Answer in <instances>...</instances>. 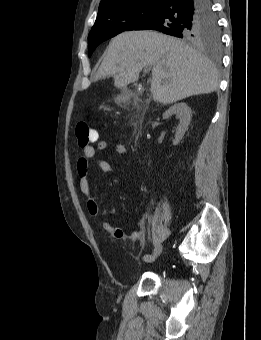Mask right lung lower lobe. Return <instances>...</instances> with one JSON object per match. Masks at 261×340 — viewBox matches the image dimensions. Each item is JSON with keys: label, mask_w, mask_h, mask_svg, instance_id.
Listing matches in <instances>:
<instances>
[{"label": "right lung lower lobe", "mask_w": 261, "mask_h": 340, "mask_svg": "<svg viewBox=\"0 0 261 340\" xmlns=\"http://www.w3.org/2000/svg\"><path fill=\"white\" fill-rule=\"evenodd\" d=\"M210 13V0H162L157 9L133 30H157L181 38L188 20Z\"/></svg>", "instance_id": "obj_1"}]
</instances>
